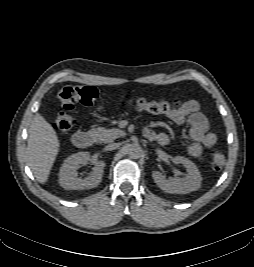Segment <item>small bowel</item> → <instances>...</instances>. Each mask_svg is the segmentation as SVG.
<instances>
[{"instance_id": "obj_1", "label": "small bowel", "mask_w": 254, "mask_h": 267, "mask_svg": "<svg viewBox=\"0 0 254 267\" xmlns=\"http://www.w3.org/2000/svg\"><path fill=\"white\" fill-rule=\"evenodd\" d=\"M171 121L177 124L187 123L192 143L188 146V153L192 157L202 155L204 149L211 148L217 141L216 135L209 130L205 115L200 111V104L196 100H187L168 113ZM149 139L157 141L160 145L170 144V137L166 133H156L146 129Z\"/></svg>"}]
</instances>
